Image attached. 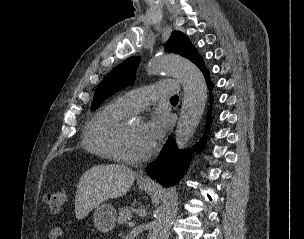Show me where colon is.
<instances>
[{
    "mask_svg": "<svg viewBox=\"0 0 304 239\" xmlns=\"http://www.w3.org/2000/svg\"><path fill=\"white\" fill-rule=\"evenodd\" d=\"M44 202L53 213H60L66 202V194L63 191L46 193Z\"/></svg>",
    "mask_w": 304,
    "mask_h": 239,
    "instance_id": "1",
    "label": "colon"
}]
</instances>
